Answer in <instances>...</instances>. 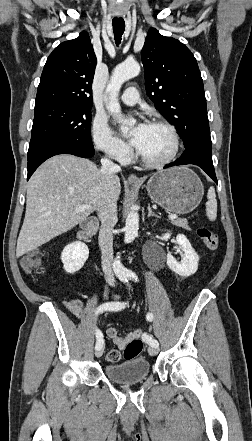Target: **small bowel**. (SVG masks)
Returning <instances> with one entry per match:
<instances>
[{"label":"small bowel","mask_w":252,"mask_h":441,"mask_svg":"<svg viewBox=\"0 0 252 441\" xmlns=\"http://www.w3.org/2000/svg\"><path fill=\"white\" fill-rule=\"evenodd\" d=\"M65 307L77 318L83 317V303L78 298H71L64 303ZM107 337L118 347L124 350L129 342L141 336V330L135 329L125 335H120L116 327H109L106 330Z\"/></svg>","instance_id":"obj_1"}]
</instances>
